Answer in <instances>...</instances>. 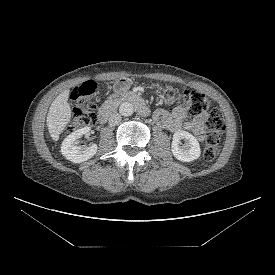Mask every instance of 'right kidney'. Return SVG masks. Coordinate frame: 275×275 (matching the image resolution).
<instances>
[{"label":"right kidney","instance_id":"1","mask_svg":"<svg viewBox=\"0 0 275 275\" xmlns=\"http://www.w3.org/2000/svg\"><path fill=\"white\" fill-rule=\"evenodd\" d=\"M89 131V127H84L74 131L64 139L61 146V153L67 160L74 163H81L96 154L98 148L96 144H92L89 147L78 146L79 138Z\"/></svg>","mask_w":275,"mask_h":275}]
</instances>
